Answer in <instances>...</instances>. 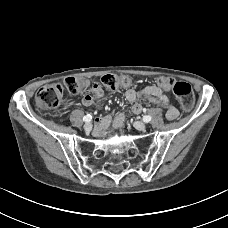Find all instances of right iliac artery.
<instances>
[{
  "instance_id": "right-iliac-artery-1",
  "label": "right iliac artery",
  "mask_w": 228,
  "mask_h": 228,
  "mask_svg": "<svg viewBox=\"0 0 228 228\" xmlns=\"http://www.w3.org/2000/svg\"><path fill=\"white\" fill-rule=\"evenodd\" d=\"M91 119H92V116L90 114L83 117V121H85V122H90Z\"/></svg>"
}]
</instances>
